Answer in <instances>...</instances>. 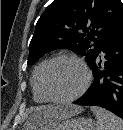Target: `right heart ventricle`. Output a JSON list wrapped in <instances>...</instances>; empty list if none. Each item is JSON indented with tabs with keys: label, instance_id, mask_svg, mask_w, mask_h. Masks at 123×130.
<instances>
[{
	"label": "right heart ventricle",
	"instance_id": "obj_1",
	"mask_svg": "<svg viewBox=\"0 0 123 130\" xmlns=\"http://www.w3.org/2000/svg\"><path fill=\"white\" fill-rule=\"evenodd\" d=\"M48 61H49V59H44V60L40 61L32 71L31 88H32V92H33V98L37 103H46L49 101L44 96V94L41 90V84H40L41 73Z\"/></svg>",
	"mask_w": 123,
	"mask_h": 130
}]
</instances>
